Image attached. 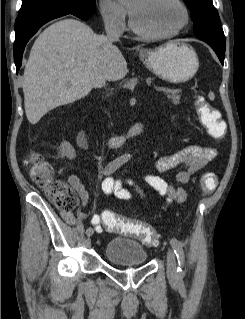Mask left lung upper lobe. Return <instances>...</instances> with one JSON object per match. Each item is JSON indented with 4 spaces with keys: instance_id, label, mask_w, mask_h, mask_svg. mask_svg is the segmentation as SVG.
<instances>
[{
    "instance_id": "5c2ea615",
    "label": "left lung upper lobe",
    "mask_w": 245,
    "mask_h": 319,
    "mask_svg": "<svg viewBox=\"0 0 245 319\" xmlns=\"http://www.w3.org/2000/svg\"><path fill=\"white\" fill-rule=\"evenodd\" d=\"M192 11L196 37L225 50V35L212 0H184Z\"/></svg>"
}]
</instances>
